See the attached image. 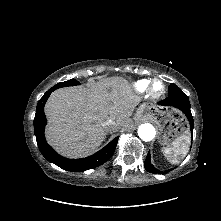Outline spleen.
Here are the masks:
<instances>
[{"label": "spleen", "instance_id": "1", "mask_svg": "<svg viewBox=\"0 0 221 221\" xmlns=\"http://www.w3.org/2000/svg\"><path fill=\"white\" fill-rule=\"evenodd\" d=\"M189 143L190 135L189 132H187L175 139L171 145L163 147L162 152L172 164H176L188 153Z\"/></svg>", "mask_w": 221, "mask_h": 221}]
</instances>
